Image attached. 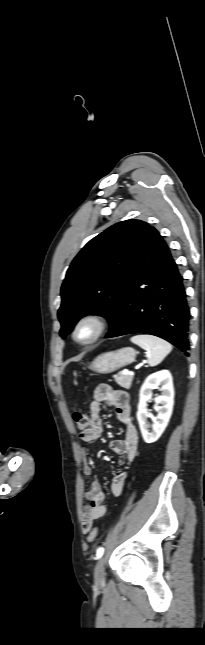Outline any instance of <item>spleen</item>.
<instances>
[{"mask_svg":"<svg viewBox=\"0 0 205 645\" xmlns=\"http://www.w3.org/2000/svg\"><path fill=\"white\" fill-rule=\"evenodd\" d=\"M131 342L143 348L148 356V364L156 366L171 352L172 346L156 336L141 334L131 338Z\"/></svg>","mask_w":205,"mask_h":645,"instance_id":"obj_1","label":"spleen"}]
</instances>
